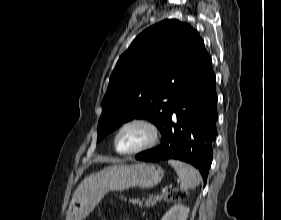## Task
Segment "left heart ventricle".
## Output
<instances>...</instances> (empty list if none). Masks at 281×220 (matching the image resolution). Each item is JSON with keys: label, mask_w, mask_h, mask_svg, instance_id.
<instances>
[{"label": "left heart ventricle", "mask_w": 281, "mask_h": 220, "mask_svg": "<svg viewBox=\"0 0 281 220\" xmlns=\"http://www.w3.org/2000/svg\"><path fill=\"white\" fill-rule=\"evenodd\" d=\"M150 133L147 128L141 125H133L120 134L117 146L120 151H131L145 144Z\"/></svg>", "instance_id": "1"}]
</instances>
